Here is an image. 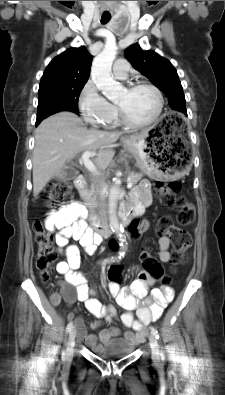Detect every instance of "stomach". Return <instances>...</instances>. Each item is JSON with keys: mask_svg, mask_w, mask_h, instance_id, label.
Instances as JSON below:
<instances>
[{"mask_svg": "<svg viewBox=\"0 0 225 395\" xmlns=\"http://www.w3.org/2000/svg\"><path fill=\"white\" fill-rule=\"evenodd\" d=\"M122 142L135 156L138 168L150 178L171 180L186 173L184 149L181 144L175 148L172 144H177L178 139L165 134L158 124L125 137Z\"/></svg>", "mask_w": 225, "mask_h": 395, "instance_id": "stomach-1", "label": "stomach"}]
</instances>
